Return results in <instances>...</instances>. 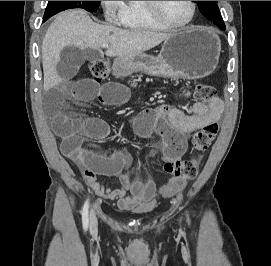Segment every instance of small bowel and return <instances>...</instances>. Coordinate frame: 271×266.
Instances as JSON below:
<instances>
[{
	"label": "small bowel",
	"mask_w": 271,
	"mask_h": 266,
	"mask_svg": "<svg viewBox=\"0 0 271 266\" xmlns=\"http://www.w3.org/2000/svg\"><path fill=\"white\" fill-rule=\"evenodd\" d=\"M81 67V60L73 54L64 57L57 67L48 73L51 87L45 100V110L52 120L53 128L61 140L62 153L80 169L85 183L99 196L107 200H117L121 210L138 206L152 207L155 193L171 195L180 192L185 181L171 179L159 186L151 179H132L126 169L129 157L121 151L105 156L90 149L85 138L105 140L111 135L109 124L98 117L84 120L69 116L64 112L67 101L97 100L108 106H116L128 100L127 88L119 83L100 84L91 79L74 80ZM223 111L219 98L210 104L196 102L186 113L169 104L144 110L134 121L137 133L148 136L156 133L161 137L164 159L181 157L187 149L188 135L210 122H218ZM165 120V122H163ZM99 177L116 179L119 186L108 188L101 184Z\"/></svg>",
	"instance_id": "c3829d8e"
}]
</instances>
